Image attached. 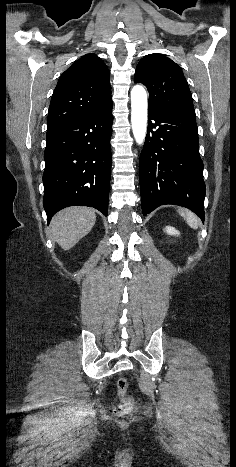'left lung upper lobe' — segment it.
Here are the masks:
<instances>
[{
  "label": "left lung upper lobe",
  "instance_id": "5c2ea615",
  "mask_svg": "<svg viewBox=\"0 0 236 467\" xmlns=\"http://www.w3.org/2000/svg\"><path fill=\"white\" fill-rule=\"evenodd\" d=\"M134 81L149 92V107L194 111L192 95L182 69L161 54H149L137 65Z\"/></svg>",
  "mask_w": 236,
  "mask_h": 467
}]
</instances>
